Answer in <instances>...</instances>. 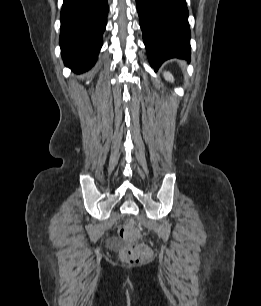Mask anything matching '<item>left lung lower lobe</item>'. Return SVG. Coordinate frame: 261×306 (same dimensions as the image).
Returning <instances> with one entry per match:
<instances>
[{
  "mask_svg": "<svg viewBox=\"0 0 261 306\" xmlns=\"http://www.w3.org/2000/svg\"><path fill=\"white\" fill-rule=\"evenodd\" d=\"M148 60L155 69L170 58L191 54L185 0H136Z\"/></svg>",
  "mask_w": 261,
  "mask_h": 306,
  "instance_id": "0a47b994",
  "label": "left lung lower lobe"
}]
</instances>
